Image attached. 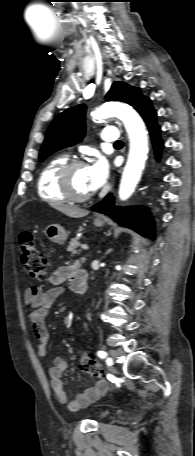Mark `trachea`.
Segmentation results:
<instances>
[{"label":"trachea","instance_id":"obj_1","mask_svg":"<svg viewBox=\"0 0 195 456\" xmlns=\"http://www.w3.org/2000/svg\"><path fill=\"white\" fill-rule=\"evenodd\" d=\"M122 144H123V142L119 140V141L115 142L114 145H115V146H118V145H122Z\"/></svg>","mask_w":195,"mask_h":456}]
</instances>
